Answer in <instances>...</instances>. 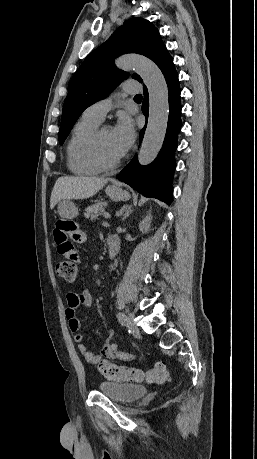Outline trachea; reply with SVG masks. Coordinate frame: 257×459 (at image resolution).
<instances>
[{"instance_id": "trachea-1", "label": "trachea", "mask_w": 257, "mask_h": 459, "mask_svg": "<svg viewBox=\"0 0 257 459\" xmlns=\"http://www.w3.org/2000/svg\"><path fill=\"white\" fill-rule=\"evenodd\" d=\"M135 98H142L140 94L136 95Z\"/></svg>"}]
</instances>
